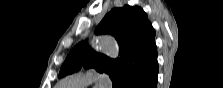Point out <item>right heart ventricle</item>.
Masks as SVG:
<instances>
[{"instance_id":"right-heart-ventricle-1","label":"right heart ventricle","mask_w":223,"mask_h":88,"mask_svg":"<svg viewBox=\"0 0 223 88\" xmlns=\"http://www.w3.org/2000/svg\"><path fill=\"white\" fill-rule=\"evenodd\" d=\"M54 88H63V87H60L59 85H57L56 87H54Z\"/></svg>"}]
</instances>
